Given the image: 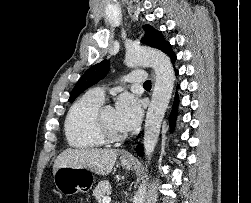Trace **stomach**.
<instances>
[{
    "mask_svg": "<svg viewBox=\"0 0 251 203\" xmlns=\"http://www.w3.org/2000/svg\"><path fill=\"white\" fill-rule=\"evenodd\" d=\"M123 168L129 170L133 167V160L120 159ZM95 182L93 173L86 168L60 167L54 174V184L57 190L64 195L76 192H88Z\"/></svg>",
    "mask_w": 251,
    "mask_h": 203,
    "instance_id": "1",
    "label": "stomach"
}]
</instances>
